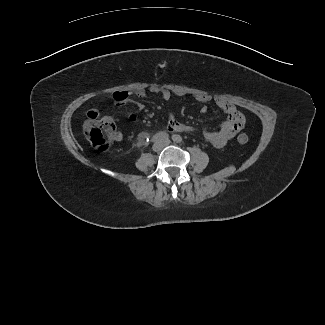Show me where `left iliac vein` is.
<instances>
[{"label": "left iliac vein", "mask_w": 325, "mask_h": 325, "mask_svg": "<svg viewBox=\"0 0 325 325\" xmlns=\"http://www.w3.org/2000/svg\"><path fill=\"white\" fill-rule=\"evenodd\" d=\"M165 144H168V141H165Z\"/></svg>", "instance_id": "4c4485c4"}]
</instances>
